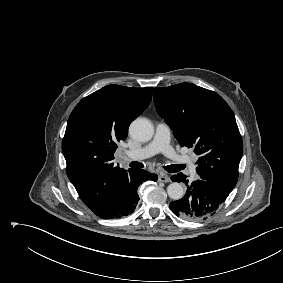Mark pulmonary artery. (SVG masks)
Masks as SVG:
<instances>
[{
  "label": "pulmonary artery",
  "mask_w": 283,
  "mask_h": 283,
  "mask_svg": "<svg viewBox=\"0 0 283 283\" xmlns=\"http://www.w3.org/2000/svg\"><path fill=\"white\" fill-rule=\"evenodd\" d=\"M157 153H163L179 163L188 165L190 176L196 177V168L192 159L186 155H179L170 145V128L164 122H159L156 125L154 138L149 144L140 149L127 151L125 157L129 160H140Z\"/></svg>",
  "instance_id": "obj_1"
}]
</instances>
